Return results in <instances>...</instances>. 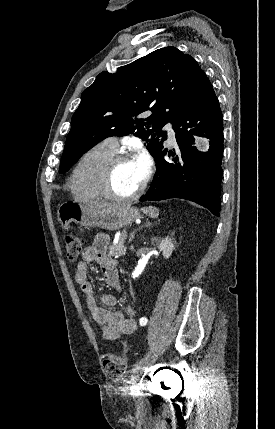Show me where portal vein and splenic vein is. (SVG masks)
Masks as SVG:
<instances>
[{"instance_id":"18ae733b","label":"portal vein and splenic vein","mask_w":275,"mask_h":429,"mask_svg":"<svg viewBox=\"0 0 275 429\" xmlns=\"http://www.w3.org/2000/svg\"><path fill=\"white\" fill-rule=\"evenodd\" d=\"M122 236L124 237V240H125V237H126L127 235H126V233H124Z\"/></svg>"}]
</instances>
